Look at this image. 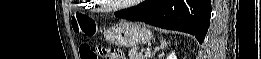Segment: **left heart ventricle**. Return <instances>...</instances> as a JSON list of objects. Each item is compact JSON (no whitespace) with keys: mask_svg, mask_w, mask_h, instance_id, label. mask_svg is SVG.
Instances as JSON below:
<instances>
[{"mask_svg":"<svg viewBox=\"0 0 261 59\" xmlns=\"http://www.w3.org/2000/svg\"><path fill=\"white\" fill-rule=\"evenodd\" d=\"M105 5L108 6H115V5H120L122 3H125L127 1L124 0H108V1H102Z\"/></svg>","mask_w":261,"mask_h":59,"instance_id":"b2bd125f","label":"left heart ventricle"}]
</instances>
